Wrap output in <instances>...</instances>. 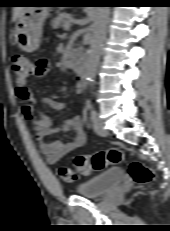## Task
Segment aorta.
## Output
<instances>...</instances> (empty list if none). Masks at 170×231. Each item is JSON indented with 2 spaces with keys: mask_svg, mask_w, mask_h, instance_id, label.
<instances>
[{
  "mask_svg": "<svg viewBox=\"0 0 170 231\" xmlns=\"http://www.w3.org/2000/svg\"><path fill=\"white\" fill-rule=\"evenodd\" d=\"M110 7H95L93 12L94 23L92 27V40L88 52L86 79L92 82L96 75L97 65L100 60L102 43L104 40L106 20Z\"/></svg>",
  "mask_w": 170,
  "mask_h": 231,
  "instance_id": "762f6f07",
  "label": "aorta"
}]
</instances>
